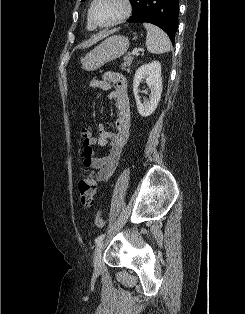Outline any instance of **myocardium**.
<instances>
[{"label":"myocardium","instance_id":"f54148a6","mask_svg":"<svg viewBox=\"0 0 245 314\" xmlns=\"http://www.w3.org/2000/svg\"><path fill=\"white\" fill-rule=\"evenodd\" d=\"M97 1L98 0H92L91 4L89 6V9H88V20L95 28H109V27H113V26L123 22L125 19H127L130 16L131 12H132V5H131L130 0H119V2L122 5V11L119 14V16L116 17L111 22L101 24V23L96 22L94 20V18H93V8H94V5L96 4Z\"/></svg>","mask_w":245,"mask_h":314}]
</instances>
